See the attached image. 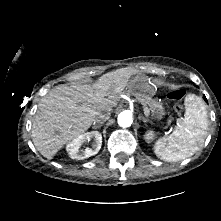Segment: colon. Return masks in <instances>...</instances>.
<instances>
[{"mask_svg": "<svg viewBox=\"0 0 221 221\" xmlns=\"http://www.w3.org/2000/svg\"><path fill=\"white\" fill-rule=\"evenodd\" d=\"M184 96H185V91L183 89L172 90L168 94L169 99L174 102L175 109L177 112H181L183 109L181 101L184 98Z\"/></svg>", "mask_w": 221, "mask_h": 221, "instance_id": "1", "label": "colon"}]
</instances>
